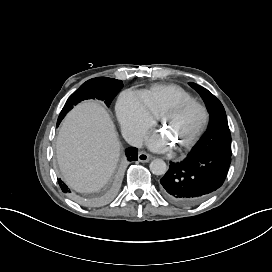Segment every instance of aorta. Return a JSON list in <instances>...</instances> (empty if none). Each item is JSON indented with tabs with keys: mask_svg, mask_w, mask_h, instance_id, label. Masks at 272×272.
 Instances as JSON below:
<instances>
[{
	"mask_svg": "<svg viewBox=\"0 0 272 272\" xmlns=\"http://www.w3.org/2000/svg\"><path fill=\"white\" fill-rule=\"evenodd\" d=\"M150 171L155 175H164L167 172V165L162 159H155L150 163Z\"/></svg>",
	"mask_w": 272,
	"mask_h": 272,
	"instance_id": "aorta-1",
	"label": "aorta"
}]
</instances>
